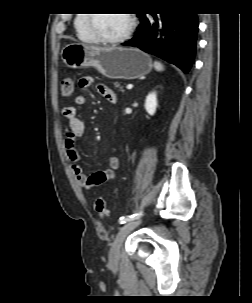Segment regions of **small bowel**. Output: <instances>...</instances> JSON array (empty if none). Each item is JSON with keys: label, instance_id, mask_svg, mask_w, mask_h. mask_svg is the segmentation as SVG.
Segmentation results:
<instances>
[{"label": "small bowel", "instance_id": "obj_1", "mask_svg": "<svg viewBox=\"0 0 252 303\" xmlns=\"http://www.w3.org/2000/svg\"><path fill=\"white\" fill-rule=\"evenodd\" d=\"M94 82L93 77L83 76L79 80V86L81 88H88ZM98 93L103 96L111 104L117 103V97L114 92L105 84L98 83L96 85ZM86 103V97L84 95H77L74 98V104L82 106ZM65 117L64 127V139L65 147L69 158L73 161L79 159V152L77 149V139L85 133V124L77 115L76 109L73 106H66L63 110ZM117 122L115 123V127ZM121 157L112 156L109 160V167L99 170L91 175L84 172L80 165H73V172L77 181L86 189L99 186L105 182H109L115 179L116 171L120 167Z\"/></svg>", "mask_w": 252, "mask_h": 303}]
</instances>
